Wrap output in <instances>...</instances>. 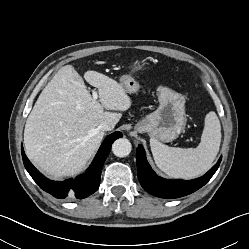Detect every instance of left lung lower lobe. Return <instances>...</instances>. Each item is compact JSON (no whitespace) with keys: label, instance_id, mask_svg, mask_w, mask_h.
I'll use <instances>...</instances> for the list:
<instances>
[{"label":"left lung lower lobe","instance_id":"0a47b994","mask_svg":"<svg viewBox=\"0 0 249 249\" xmlns=\"http://www.w3.org/2000/svg\"><path fill=\"white\" fill-rule=\"evenodd\" d=\"M138 179L141 186L148 193L160 198H178L191 194L204 186L214 175L219 167L222 157L218 160L204 176L184 181V180H167L155 174L146 159L145 150L139 145L136 153Z\"/></svg>","mask_w":249,"mask_h":249}]
</instances>
